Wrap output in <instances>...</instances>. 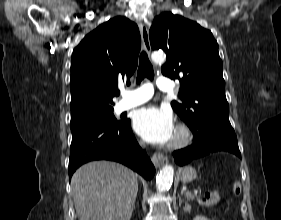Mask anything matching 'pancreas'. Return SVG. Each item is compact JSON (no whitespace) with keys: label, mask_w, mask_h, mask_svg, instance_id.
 I'll return each instance as SVG.
<instances>
[{"label":"pancreas","mask_w":281,"mask_h":220,"mask_svg":"<svg viewBox=\"0 0 281 220\" xmlns=\"http://www.w3.org/2000/svg\"><path fill=\"white\" fill-rule=\"evenodd\" d=\"M186 198L188 200H195V199H199V196L196 194H192L191 192H186Z\"/></svg>","instance_id":"1"}]
</instances>
